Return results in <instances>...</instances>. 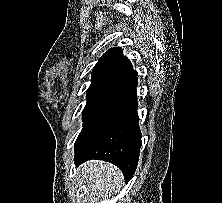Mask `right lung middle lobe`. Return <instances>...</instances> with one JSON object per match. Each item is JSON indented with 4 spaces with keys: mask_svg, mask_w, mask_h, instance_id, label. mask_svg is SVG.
<instances>
[{
    "mask_svg": "<svg viewBox=\"0 0 222 203\" xmlns=\"http://www.w3.org/2000/svg\"><path fill=\"white\" fill-rule=\"evenodd\" d=\"M113 97V94L101 91L88 90L87 103L82 112L83 120L90 117L95 111L102 107Z\"/></svg>",
    "mask_w": 222,
    "mask_h": 203,
    "instance_id": "1",
    "label": "right lung middle lobe"
}]
</instances>
